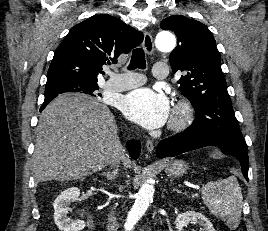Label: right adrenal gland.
<instances>
[{"label":"right adrenal gland","instance_id":"2a0ac1e0","mask_svg":"<svg viewBox=\"0 0 268 231\" xmlns=\"http://www.w3.org/2000/svg\"><path fill=\"white\" fill-rule=\"evenodd\" d=\"M118 174V168L114 169L112 172H103L100 175L104 176L107 180H114Z\"/></svg>","mask_w":268,"mask_h":231}]
</instances>
